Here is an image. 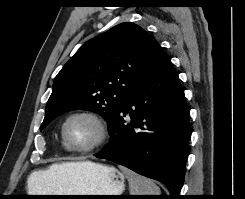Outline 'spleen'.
I'll list each match as a JSON object with an SVG mask.
<instances>
[{"label":"spleen","instance_id":"1","mask_svg":"<svg viewBox=\"0 0 245 199\" xmlns=\"http://www.w3.org/2000/svg\"><path fill=\"white\" fill-rule=\"evenodd\" d=\"M129 182L130 195H160L159 187L150 179L119 166Z\"/></svg>","mask_w":245,"mask_h":199}]
</instances>
